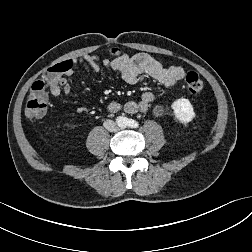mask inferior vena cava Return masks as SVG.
I'll use <instances>...</instances> for the list:
<instances>
[{"label": "inferior vena cava", "instance_id": "1", "mask_svg": "<svg viewBox=\"0 0 252 252\" xmlns=\"http://www.w3.org/2000/svg\"><path fill=\"white\" fill-rule=\"evenodd\" d=\"M104 127L110 131V132H116L118 130V126L116 125V123L112 120H106L103 123Z\"/></svg>", "mask_w": 252, "mask_h": 252}]
</instances>
